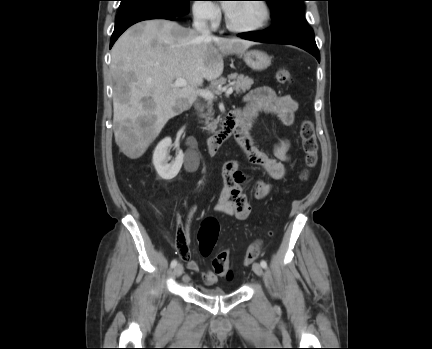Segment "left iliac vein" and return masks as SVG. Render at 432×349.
Wrapping results in <instances>:
<instances>
[{
  "label": "left iliac vein",
  "instance_id": "1",
  "mask_svg": "<svg viewBox=\"0 0 432 349\" xmlns=\"http://www.w3.org/2000/svg\"><path fill=\"white\" fill-rule=\"evenodd\" d=\"M253 271L258 276H261L263 274V269L259 263H254L253 265Z\"/></svg>",
  "mask_w": 432,
  "mask_h": 349
}]
</instances>
